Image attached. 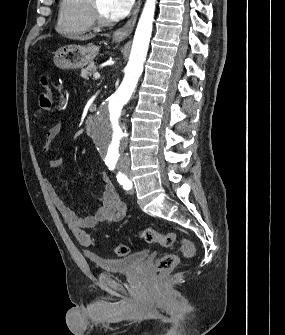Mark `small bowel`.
<instances>
[{
	"instance_id": "small-bowel-1",
	"label": "small bowel",
	"mask_w": 285,
	"mask_h": 335,
	"mask_svg": "<svg viewBox=\"0 0 285 335\" xmlns=\"http://www.w3.org/2000/svg\"><path fill=\"white\" fill-rule=\"evenodd\" d=\"M61 131L62 124L57 123L46 132L43 144L45 152H49L52 149L53 142ZM61 164L62 160L60 158H53L49 161L48 166L51 170H55ZM101 183V194L98 198L97 209L95 212L82 217L64 204L55 187L51 182L47 181V189L55 208L72 230L78 242L84 247L94 245V238L87 232L88 229L94 228L100 223L109 225L112 222H120L125 219L129 211L128 205L121 200L105 173L101 174Z\"/></svg>"
}]
</instances>
